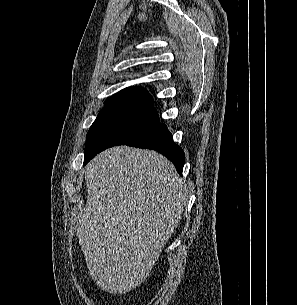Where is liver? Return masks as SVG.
Here are the masks:
<instances>
[{"mask_svg": "<svg viewBox=\"0 0 297 305\" xmlns=\"http://www.w3.org/2000/svg\"><path fill=\"white\" fill-rule=\"evenodd\" d=\"M77 236L92 280L125 294L139 286L178 227L188 192L161 154L118 146L86 166Z\"/></svg>", "mask_w": 297, "mask_h": 305, "instance_id": "liver-1", "label": "liver"}]
</instances>
